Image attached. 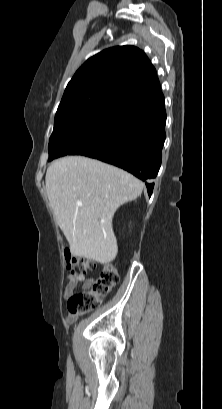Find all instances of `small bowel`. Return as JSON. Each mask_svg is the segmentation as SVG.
Returning <instances> with one entry per match:
<instances>
[{"label":"small bowel","mask_w":222,"mask_h":409,"mask_svg":"<svg viewBox=\"0 0 222 409\" xmlns=\"http://www.w3.org/2000/svg\"><path fill=\"white\" fill-rule=\"evenodd\" d=\"M92 284H93V278H91V277H85L84 275H81V274H79V275H75V274L69 275V276H67V279H66V285H65V288H64L63 296L65 298H69L74 294L76 288L79 285H81V287L83 289H89L92 286ZM76 320H77L76 315L69 314L66 317V321L69 324L74 323Z\"/></svg>","instance_id":"c3829d8e"}]
</instances>
